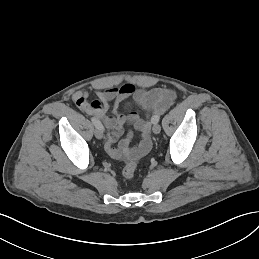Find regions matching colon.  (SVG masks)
Segmentation results:
<instances>
[{
  "instance_id": "5ec220e1",
  "label": "colon",
  "mask_w": 259,
  "mask_h": 259,
  "mask_svg": "<svg viewBox=\"0 0 259 259\" xmlns=\"http://www.w3.org/2000/svg\"><path fill=\"white\" fill-rule=\"evenodd\" d=\"M137 169V163L135 161H129L125 164V166L122 169V176L125 179H131L134 177L135 172Z\"/></svg>"
}]
</instances>
